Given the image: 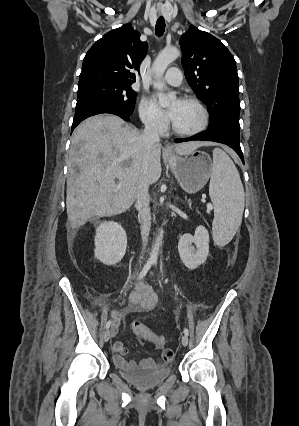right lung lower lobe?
Instances as JSON below:
<instances>
[{
    "label": "right lung lower lobe",
    "instance_id": "obj_1",
    "mask_svg": "<svg viewBox=\"0 0 299 426\" xmlns=\"http://www.w3.org/2000/svg\"><path fill=\"white\" fill-rule=\"evenodd\" d=\"M102 113L114 114L121 117L125 121H130V115L133 110H125L119 105L100 98H83L77 100L76 112L72 124V130L84 119Z\"/></svg>",
    "mask_w": 299,
    "mask_h": 426
}]
</instances>
